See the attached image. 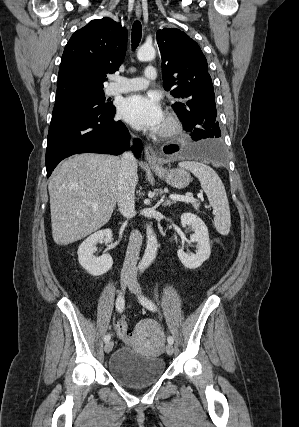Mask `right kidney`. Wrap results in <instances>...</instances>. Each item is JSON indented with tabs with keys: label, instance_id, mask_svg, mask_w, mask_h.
<instances>
[{
	"label": "right kidney",
	"instance_id": "1",
	"mask_svg": "<svg viewBox=\"0 0 299 427\" xmlns=\"http://www.w3.org/2000/svg\"><path fill=\"white\" fill-rule=\"evenodd\" d=\"M112 231L110 229L100 230L86 238L79 246L77 254L80 265L93 276H100L108 272L112 265L113 260L109 254H103L96 257L95 245L104 240L109 242L112 239Z\"/></svg>",
	"mask_w": 299,
	"mask_h": 427
}]
</instances>
